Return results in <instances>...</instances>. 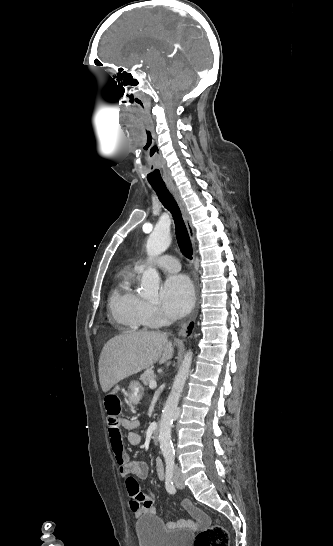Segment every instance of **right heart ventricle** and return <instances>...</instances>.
Segmentation results:
<instances>
[{"mask_svg": "<svg viewBox=\"0 0 333 546\" xmlns=\"http://www.w3.org/2000/svg\"><path fill=\"white\" fill-rule=\"evenodd\" d=\"M137 270L125 271L120 275L109 296L111 320L125 330L137 331L145 327L139 313L141 298L134 286Z\"/></svg>", "mask_w": 333, "mask_h": 546, "instance_id": "right-heart-ventricle-1", "label": "right heart ventricle"}]
</instances>
